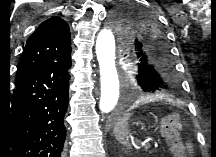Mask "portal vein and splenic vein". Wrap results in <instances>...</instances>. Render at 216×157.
<instances>
[{"instance_id":"portal-vein-and-splenic-vein-1","label":"portal vein and splenic vein","mask_w":216,"mask_h":157,"mask_svg":"<svg viewBox=\"0 0 216 157\" xmlns=\"http://www.w3.org/2000/svg\"><path fill=\"white\" fill-rule=\"evenodd\" d=\"M145 147H146V148H149V147H150V145H145Z\"/></svg>"}]
</instances>
